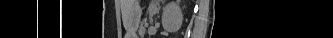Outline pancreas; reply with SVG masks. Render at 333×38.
<instances>
[{
    "instance_id": "pancreas-1",
    "label": "pancreas",
    "mask_w": 333,
    "mask_h": 38,
    "mask_svg": "<svg viewBox=\"0 0 333 38\" xmlns=\"http://www.w3.org/2000/svg\"><path fill=\"white\" fill-rule=\"evenodd\" d=\"M140 32H141L142 34L145 33V26H144V24L141 25V27H140Z\"/></svg>"
}]
</instances>
